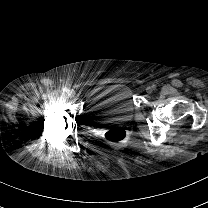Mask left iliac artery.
Masks as SVG:
<instances>
[{
  "label": "left iliac artery",
  "mask_w": 208,
  "mask_h": 208,
  "mask_svg": "<svg viewBox=\"0 0 208 208\" xmlns=\"http://www.w3.org/2000/svg\"><path fill=\"white\" fill-rule=\"evenodd\" d=\"M152 88H156V86H155V85H153V86H152Z\"/></svg>",
  "instance_id": "44dca946"
}]
</instances>
